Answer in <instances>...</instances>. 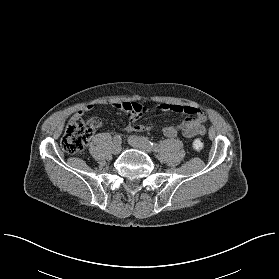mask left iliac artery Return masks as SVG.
I'll use <instances>...</instances> for the list:
<instances>
[{
    "instance_id": "left-iliac-artery-1",
    "label": "left iliac artery",
    "mask_w": 279,
    "mask_h": 279,
    "mask_svg": "<svg viewBox=\"0 0 279 279\" xmlns=\"http://www.w3.org/2000/svg\"><path fill=\"white\" fill-rule=\"evenodd\" d=\"M145 142L149 144L151 150H153L154 152H158L160 150V145L159 144L150 142L146 139H145Z\"/></svg>"
}]
</instances>
